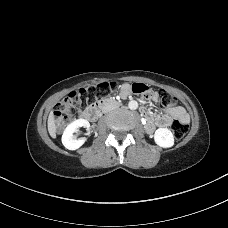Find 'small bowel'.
Here are the masks:
<instances>
[{
	"mask_svg": "<svg viewBox=\"0 0 228 228\" xmlns=\"http://www.w3.org/2000/svg\"><path fill=\"white\" fill-rule=\"evenodd\" d=\"M120 92H121V95L125 97V96H127L131 92V88H130L129 85L123 84L121 86V88H120ZM151 98L153 100H156L157 99V95L155 93H152L151 94ZM157 119L160 122V125H158L159 127H167V126L170 125L172 119H178L181 122H183L184 124H186L189 121V116L186 113V111L184 110V108H182L180 106H174V107H172V108H170L168 110V112H167L166 115L157 116ZM147 130L149 132H152L153 131V130L152 131L149 130L148 128H147Z\"/></svg>",
	"mask_w": 228,
	"mask_h": 228,
	"instance_id": "1",
	"label": "small bowel"
}]
</instances>
